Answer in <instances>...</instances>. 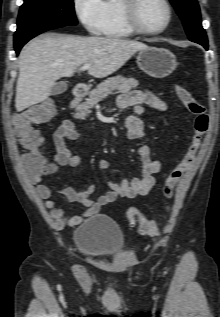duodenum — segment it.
I'll use <instances>...</instances> for the list:
<instances>
[{
  "mask_svg": "<svg viewBox=\"0 0 220 317\" xmlns=\"http://www.w3.org/2000/svg\"><path fill=\"white\" fill-rule=\"evenodd\" d=\"M89 91V87L86 84H78L73 89V99H80L84 97Z\"/></svg>",
  "mask_w": 220,
  "mask_h": 317,
  "instance_id": "1",
  "label": "duodenum"
}]
</instances>
